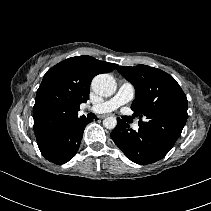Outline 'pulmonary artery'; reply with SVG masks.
I'll return each instance as SVG.
<instances>
[{"mask_svg": "<svg viewBox=\"0 0 211 211\" xmlns=\"http://www.w3.org/2000/svg\"><path fill=\"white\" fill-rule=\"evenodd\" d=\"M135 95V88L129 82L120 85L117 93L110 99L88 107V110L94 113H107L116 110L118 107L130 102ZM134 129L138 130L139 125H134Z\"/></svg>", "mask_w": 211, "mask_h": 211, "instance_id": "obj_1", "label": "pulmonary artery"}]
</instances>
